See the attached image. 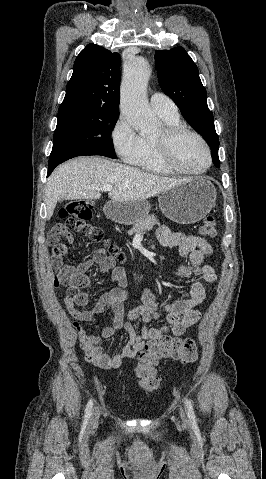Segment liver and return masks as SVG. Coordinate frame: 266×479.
I'll list each match as a JSON object with an SVG mask.
<instances>
[{
	"label": "liver",
	"instance_id": "6515ba94",
	"mask_svg": "<svg viewBox=\"0 0 266 479\" xmlns=\"http://www.w3.org/2000/svg\"><path fill=\"white\" fill-rule=\"evenodd\" d=\"M141 171L99 156H83L69 160L50 175L45 188L47 219L53 215L60 199L96 200L100 188L111 185L108 196L112 201H141L184 182Z\"/></svg>",
	"mask_w": 266,
	"mask_h": 479
}]
</instances>
